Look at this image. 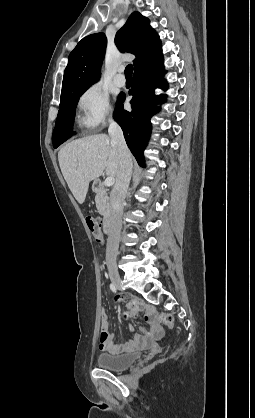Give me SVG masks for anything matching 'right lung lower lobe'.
<instances>
[{
	"mask_svg": "<svg viewBox=\"0 0 255 418\" xmlns=\"http://www.w3.org/2000/svg\"><path fill=\"white\" fill-rule=\"evenodd\" d=\"M163 58L152 65L134 72L132 95L130 101L132 111L123 108L125 95L120 94L114 119L121 126L126 143L140 166L144 165L143 151L151 133V117L157 112L156 104L163 102L166 96H156V88L167 89V82L161 78L165 74Z\"/></svg>",
	"mask_w": 255,
	"mask_h": 418,
	"instance_id": "1",
	"label": "right lung lower lobe"
}]
</instances>
